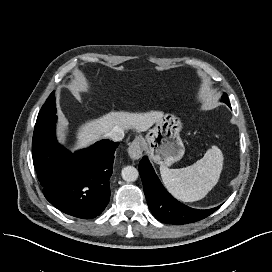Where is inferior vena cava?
<instances>
[{
	"instance_id": "1",
	"label": "inferior vena cava",
	"mask_w": 272,
	"mask_h": 272,
	"mask_svg": "<svg viewBox=\"0 0 272 272\" xmlns=\"http://www.w3.org/2000/svg\"><path fill=\"white\" fill-rule=\"evenodd\" d=\"M105 136L106 138L114 142L121 141L124 137V129L119 126H116L111 131H109Z\"/></svg>"
}]
</instances>
